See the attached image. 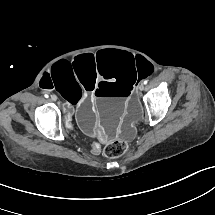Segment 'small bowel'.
Returning <instances> with one entry per match:
<instances>
[{
  "label": "small bowel",
  "instance_id": "1",
  "mask_svg": "<svg viewBox=\"0 0 215 215\" xmlns=\"http://www.w3.org/2000/svg\"><path fill=\"white\" fill-rule=\"evenodd\" d=\"M94 150L98 152V151H99V146H98V145H95V146H94Z\"/></svg>",
  "mask_w": 215,
  "mask_h": 215
}]
</instances>
